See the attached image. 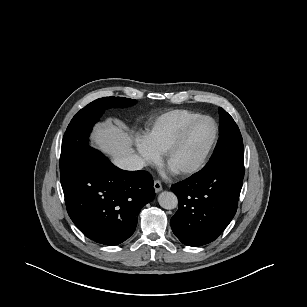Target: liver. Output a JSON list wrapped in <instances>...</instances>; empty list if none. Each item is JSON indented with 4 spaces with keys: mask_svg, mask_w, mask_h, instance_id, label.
Listing matches in <instances>:
<instances>
[{
    "mask_svg": "<svg viewBox=\"0 0 307 307\" xmlns=\"http://www.w3.org/2000/svg\"><path fill=\"white\" fill-rule=\"evenodd\" d=\"M95 145L103 152L111 155L113 162L116 159L134 154L131 147L132 138L123 131L122 126L111 122L100 124L93 133Z\"/></svg>",
    "mask_w": 307,
    "mask_h": 307,
    "instance_id": "6515ba94",
    "label": "liver"
}]
</instances>
